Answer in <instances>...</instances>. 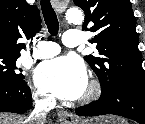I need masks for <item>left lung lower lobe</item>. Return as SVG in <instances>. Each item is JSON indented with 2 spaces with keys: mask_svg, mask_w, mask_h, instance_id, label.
<instances>
[{
  "mask_svg": "<svg viewBox=\"0 0 145 124\" xmlns=\"http://www.w3.org/2000/svg\"><path fill=\"white\" fill-rule=\"evenodd\" d=\"M114 114L145 124V88L121 84L89 105L76 109L78 116Z\"/></svg>",
  "mask_w": 145,
  "mask_h": 124,
  "instance_id": "0a47b994",
  "label": "left lung lower lobe"
}]
</instances>
